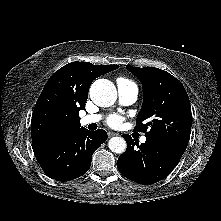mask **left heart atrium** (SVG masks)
Segmentation results:
<instances>
[{
    "label": "left heart atrium",
    "mask_w": 221,
    "mask_h": 221,
    "mask_svg": "<svg viewBox=\"0 0 221 221\" xmlns=\"http://www.w3.org/2000/svg\"><path fill=\"white\" fill-rule=\"evenodd\" d=\"M123 117L117 114L109 116L107 123L110 127L117 128L121 125Z\"/></svg>",
    "instance_id": "1"
}]
</instances>
